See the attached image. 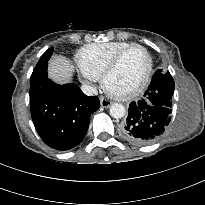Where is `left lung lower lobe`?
I'll use <instances>...</instances> for the list:
<instances>
[{
  "instance_id": "1",
  "label": "left lung lower lobe",
  "mask_w": 205,
  "mask_h": 205,
  "mask_svg": "<svg viewBox=\"0 0 205 205\" xmlns=\"http://www.w3.org/2000/svg\"><path fill=\"white\" fill-rule=\"evenodd\" d=\"M172 102H166L165 93L156 87L152 96L132 101L128 117L121 127L123 135L130 141L145 145L159 139L171 120Z\"/></svg>"
}]
</instances>
